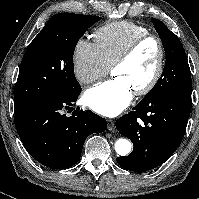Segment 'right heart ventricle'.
I'll return each mask as SVG.
<instances>
[{"mask_svg":"<svg viewBox=\"0 0 199 199\" xmlns=\"http://www.w3.org/2000/svg\"><path fill=\"white\" fill-rule=\"evenodd\" d=\"M148 33L147 28L137 23L117 21L99 27L94 38L104 61L110 67L133 40Z\"/></svg>","mask_w":199,"mask_h":199,"instance_id":"right-heart-ventricle-1","label":"right heart ventricle"}]
</instances>
